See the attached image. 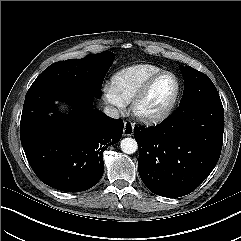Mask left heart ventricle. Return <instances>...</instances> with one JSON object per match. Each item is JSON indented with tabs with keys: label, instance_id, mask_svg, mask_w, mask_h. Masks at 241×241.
Here are the masks:
<instances>
[{
	"label": "left heart ventricle",
	"instance_id": "1",
	"mask_svg": "<svg viewBox=\"0 0 241 241\" xmlns=\"http://www.w3.org/2000/svg\"><path fill=\"white\" fill-rule=\"evenodd\" d=\"M175 90L176 83L173 77L164 76L160 78L142 102L141 111L146 113L158 112L170 102Z\"/></svg>",
	"mask_w": 241,
	"mask_h": 241
}]
</instances>
